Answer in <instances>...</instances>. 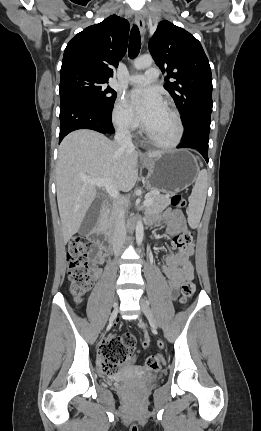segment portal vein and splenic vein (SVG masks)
<instances>
[{
	"label": "portal vein and splenic vein",
	"mask_w": 261,
	"mask_h": 431,
	"mask_svg": "<svg viewBox=\"0 0 261 431\" xmlns=\"http://www.w3.org/2000/svg\"><path fill=\"white\" fill-rule=\"evenodd\" d=\"M84 181L86 183L93 184L99 188L105 187L108 194L113 198L119 197V193L117 189L114 187V185L112 184V181L110 179H107V178L106 179H85ZM152 202H153L152 199L146 198L144 201V205L149 206L152 204Z\"/></svg>",
	"instance_id": "portal-vein-and-splenic-vein-1"
}]
</instances>
